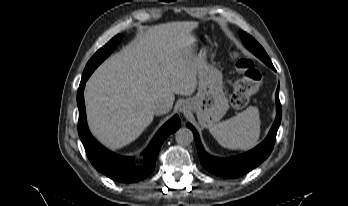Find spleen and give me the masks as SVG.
<instances>
[{"mask_svg": "<svg viewBox=\"0 0 348 206\" xmlns=\"http://www.w3.org/2000/svg\"><path fill=\"white\" fill-rule=\"evenodd\" d=\"M210 132L224 148L250 150L256 146L260 136L259 110L251 107L238 116L211 127Z\"/></svg>", "mask_w": 348, "mask_h": 206, "instance_id": "3e777b00", "label": "spleen"}]
</instances>
